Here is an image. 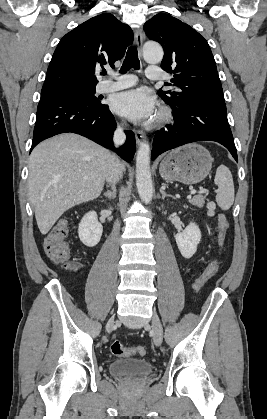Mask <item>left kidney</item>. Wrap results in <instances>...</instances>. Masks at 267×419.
Wrapping results in <instances>:
<instances>
[{
  "instance_id": "obj_1",
  "label": "left kidney",
  "mask_w": 267,
  "mask_h": 419,
  "mask_svg": "<svg viewBox=\"0 0 267 419\" xmlns=\"http://www.w3.org/2000/svg\"><path fill=\"white\" fill-rule=\"evenodd\" d=\"M175 240L182 256L189 259L197 251L201 240V231L195 223L190 222L182 232L175 235Z\"/></svg>"
}]
</instances>
